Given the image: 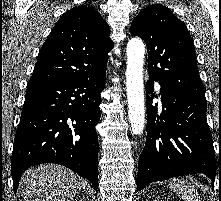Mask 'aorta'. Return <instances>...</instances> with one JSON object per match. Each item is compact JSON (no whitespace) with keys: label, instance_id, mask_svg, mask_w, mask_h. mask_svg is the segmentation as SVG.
I'll return each mask as SVG.
<instances>
[{"label":"aorta","instance_id":"762f6f07","mask_svg":"<svg viewBox=\"0 0 221 201\" xmlns=\"http://www.w3.org/2000/svg\"><path fill=\"white\" fill-rule=\"evenodd\" d=\"M126 52V86L129 122L133 135H140L143 133L145 125L143 83L144 43L138 38H132L127 44Z\"/></svg>","mask_w":221,"mask_h":201}]
</instances>
